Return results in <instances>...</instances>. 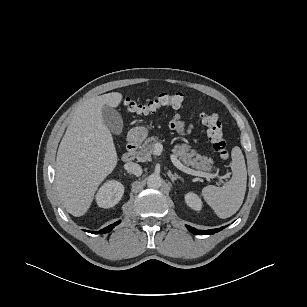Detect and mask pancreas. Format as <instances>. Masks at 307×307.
Segmentation results:
<instances>
[{"label": "pancreas", "instance_id": "pancreas-1", "mask_svg": "<svg viewBox=\"0 0 307 307\" xmlns=\"http://www.w3.org/2000/svg\"><path fill=\"white\" fill-rule=\"evenodd\" d=\"M158 142V137H149L139 147L137 151V160L140 162H146L151 160L153 154L154 145ZM173 153L179 158L185 165L196 168L197 170L209 171L211 170L213 160L197 154L194 150L190 149V146L182 143L176 144L173 148Z\"/></svg>", "mask_w": 307, "mask_h": 307}]
</instances>
